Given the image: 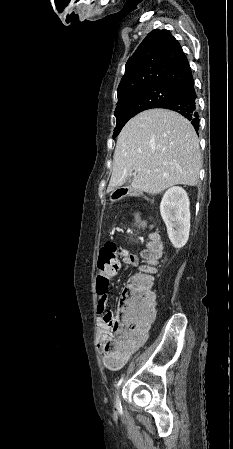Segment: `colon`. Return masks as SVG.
I'll use <instances>...</instances> for the list:
<instances>
[{
    "label": "colon",
    "instance_id": "1",
    "mask_svg": "<svg viewBox=\"0 0 233 449\" xmlns=\"http://www.w3.org/2000/svg\"><path fill=\"white\" fill-rule=\"evenodd\" d=\"M161 242L153 236L148 249L143 253L145 265L142 271L130 279V283L122 292L120 317L106 312L104 320L109 328L110 341L104 347V363L109 367H120L125 363V348L118 350L114 338L121 335L126 342L133 339L139 329V323L155 314V294L153 267L160 258ZM119 262L117 247L107 243L101 247L98 256L97 293L98 298L107 295L109 290L108 269L114 268Z\"/></svg>",
    "mask_w": 233,
    "mask_h": 449
}]
</instances>
